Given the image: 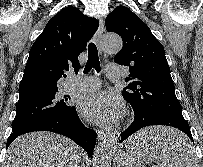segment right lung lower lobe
Returning a JSON list of instances; mask_svg holds the SVG:
<instances>
[{
	"mask_svg": "<svg viewBox=\"0 0 203 167\" xmlns=\"http://www.w3.org/2000/svg\"><path fill=\"white\" fill-rule=\"evenodd\" d=\"M34 131H50L64 135L80 145L89 157L93 155L97 134L83 125L75 107L68 113L39 120L13 131L7 140V147L18 136Z\"/></svg>",
	"mask_w": 203,
	"mask_h": 167,
	"instance_id": "98d812e1",
	"label": "right lung lower lobe"
}]
</instances>
